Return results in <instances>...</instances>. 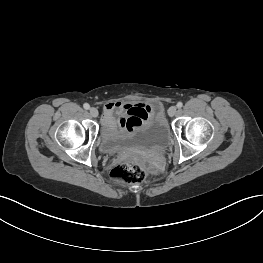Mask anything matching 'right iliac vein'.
Instances as JSON below:
<instances>
[{
  "label": "right iliac vein",
  "mask_w": 263,
  "mask_h": 263,
  "mask_svg": "<svg viewBox=\"0 0 263 263\" xmlns=\"http://www.w3.org/2000/svg\"><path fill=\"white\" fill-rule=\"evenodd\" d=\"M89 112H90V115L92 117H97L98 116V110L96 108H94V107L90 108Z\"/></svg>",
  "instance_id": "1"
}]
</instances>
